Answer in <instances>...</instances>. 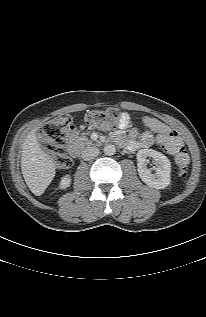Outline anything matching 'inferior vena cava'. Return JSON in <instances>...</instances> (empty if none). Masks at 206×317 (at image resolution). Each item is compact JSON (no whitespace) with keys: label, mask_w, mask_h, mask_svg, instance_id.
<instances>
[{"label":"inferior vena cava","mask_w":206,"mask_h":317,"mask_svg":"<svg viewBox=\"0 0 206 317\" xmlns=\"http://www.w3.org/2000/svg\"><path fill=\"white\" fill-rule=\"evenodd\" d=\"M98 154H99V149L98 148L88 146L82 151L81 157L85 161H88V160H91V159H94L95 157H97Z\"/></svg>","instance_id":"inferior-vena-cava-1"}]
</instances>
